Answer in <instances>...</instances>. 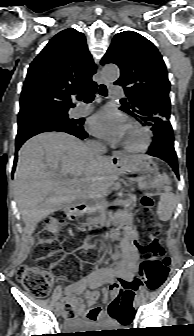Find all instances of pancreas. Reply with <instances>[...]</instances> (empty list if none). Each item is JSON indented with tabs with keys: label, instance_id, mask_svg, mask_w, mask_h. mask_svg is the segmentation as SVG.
Returning a JSON list of instances; mask_svg holds the SVG:
<instances>
[{
	"label": "pancreas",
	"instance_id": "1",
	"mask_svg": "<svg viewBox=\"0 0 194 336\" xmlns=\"http://www.w3.org/2000/svg\"><path fill=\"white\" fill-rule=\"evenodd\" d=\"M130 193L131 190L129 189V194ZM133 206H135V199L132 195H130V198L127 197V195H123L122 199H112L110 205L103 203V209H99L95 212L96 218L98 219L96 224L101 226L107 221V218H105L104 215L106 213L105 209L125 213L126 211H131Z\"/></svg>",
	"mask_w": 194,
	"mask_h": 336
}]
</instances>
